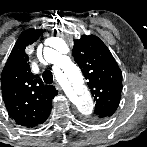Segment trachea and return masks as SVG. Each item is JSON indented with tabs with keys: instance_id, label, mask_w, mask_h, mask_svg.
<instances>
[{
	"instance_id": "trachea-1",
	"label": "trachea",
	"mask_w": 147,
	"mask_h": 147,
	"mask_svg": "<svg viewBox=\"0 0 147 147\" xmlns=\"http://www.w3.org/2000/svg\"><path fill=\"white\" fill-rule=\"evenodd\" d=\"M43 80L47 84H51L53 82V74L50 70H45L43 72Z\"/></svg>"
}]
</instances>
